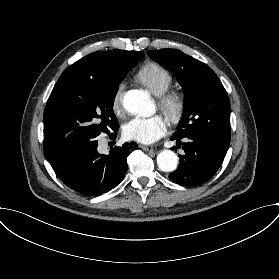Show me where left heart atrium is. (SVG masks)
Segmentation results:
<instances>
[{
    "instance_id": "39dd6f15",
    "label": "left heart atrium",
    "mask_w": 279,
    "mask_h": 279,
    "mask_svg": "<svg viewBox=\"0 0 279 279\" xmlns=\"http://www.w3.org/2000/svg\"><path fill=\"white\" fill-rule=\"evenodd\" d=\"M167 131L162 115L151 117H134L122 127L125 139L142 144H151L162 138Z\"/></svg>"
}]
</instances>
